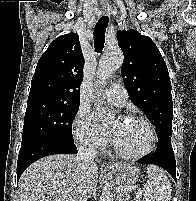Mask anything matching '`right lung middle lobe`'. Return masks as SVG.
I'll return each mask as SVG.
<instances>
[{
	"label": "right lung middle lobe",
	"mask_w": 196,
	"mask_h": 201,
	"mask_svg": "<svg viewBox=\"0 0 196 201\" xmlns=\"http://www.w3.org/2000/svg\"><path fill=\"white\" fill-rule=\"evenodd\" d=\"M80 102L62 103L36 99L27 102L22 141L38 136L73 141L72 120Z\"/></svg>",
	"instance_id": "right-lung-middle-lobe-1"
}]
</instances>
